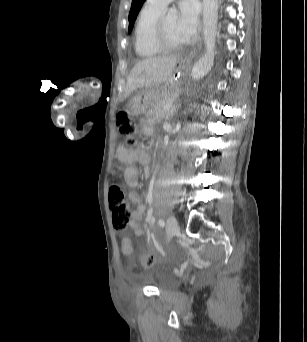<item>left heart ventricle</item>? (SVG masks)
<instances>
[{"mask_svg": "<svg viewBox=\"0 0 307 342\" xmlns=\"http://www.w3.org/2000/svg\"><path fill=\"white\" fill-rule=\"evenodd\" d=\"M176 22L173 19H163V41L165 45L173 50L182 49L184 44L178 39L175 33Z\"/></svg>", "mask_w": 307, "mask_h": 342, "instance_id": "obj_1", "label": "left heart ventricle"}]
</instances>
